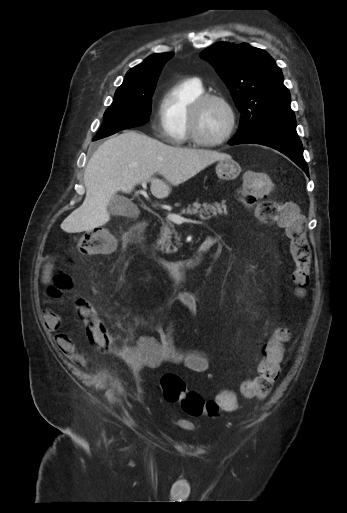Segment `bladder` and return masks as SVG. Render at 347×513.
<instances>
[{"label": "bladder", "instance_id": "1", "mask_svg": "<svg viewBox=\"0 0 347 513\" xmlns=\"http://www.w3.org/2000/svg\"><path fill=\"white\" fill-rule=\"evenodd\" d=\"M179 425H180L181 427H183V428H188V426H187L185 423H183V422H179Z\"/></svg>", "mask_w": 347, "mask_h": 513}]
</instances>
